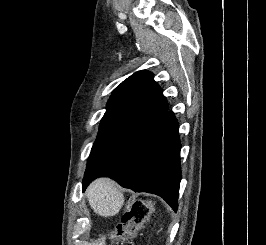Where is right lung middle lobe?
I'll use <instances>...</instances> for the list:
<instances>
[{
  "label": "right lung middle lobe",
  "mask_w": 266,
  "mask_h": 245,
  "mask_svg": "<svg viewBox=\"0 0 266 245\" xmlns=\"http://www.w3.org/2000/svg\"><path fill=\"white\" fill-rule=\"evenodd\" d=\"M143 122L144 121L141 120L120 119L104 116L101 120L98 137L92 147L86 170L122 142Z\"/></svg>",
  "instance_id": "right-lung-middle-lobe-1"
}]
</instances>
